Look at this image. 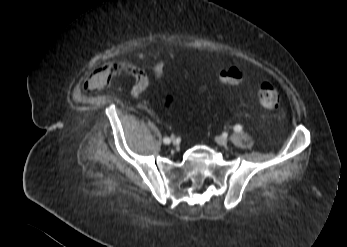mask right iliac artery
<instances>
[{
    "label": "right iliac artery",
    "mask_w": 347,
    "mask_h": 247,
    "mask_svg": "<svg viewBox=\"0 0 347 247\" xmlns=\"http://www.w3.org/2000/svg\"><path fill=\"white\" fill-rule=\"evenodd\" d=\"M163 142H164L165 144H169V143H170V139L166 137V138L163 139Z\"/></svg>",
    "instance_id": "right-iliac-artery-1"
}]
</instances>
